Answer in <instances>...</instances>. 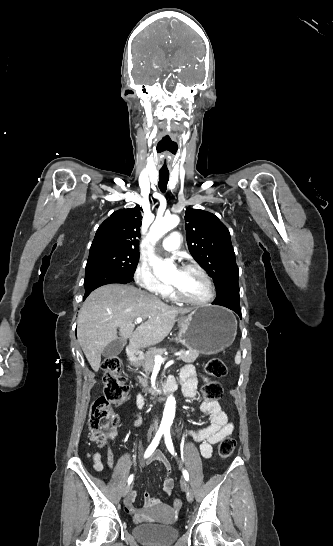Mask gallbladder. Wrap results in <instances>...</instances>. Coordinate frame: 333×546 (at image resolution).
Masks as SVG:
<instances>
[{
    "instance_id": "1",
    "label": "gallbladder",
    "mask_w": 333,
    "mask_h": 546,
    "mask_svg": "<svg viewBox=\"0 0 333 546\" xmlns=\"http://www.w3.org/2000/svg\"><path fill=\"white\" fill-rule=\"evenodd\" d=\"M125 344H126L125 340L114 341L105 347V349L102 352V355L108 358L116 357L122 352Z\"/></svg>"
}]
</instances>
